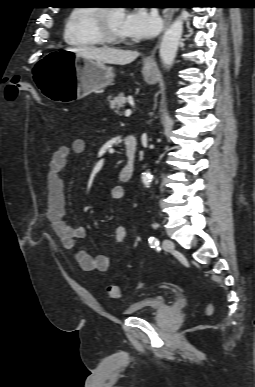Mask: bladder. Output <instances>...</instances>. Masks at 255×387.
Returning <instances> with one entry per match:
<instances>
[{
    "label": "bladder",
    "instance_id": "31cf9c89",
    "mask_svg": "<svg viewBox=\"0 0 255 387\" xmlns=\"http://www.w3.org/2000/svg\"><path fill=\"white\" fill-rule=\"evenodd\" d=\"M168 306L167 299L158 295L132 303L124 310V314L131 317H144L157 314Z\"/></svg>",
    "mask_w": 255,
    "mask_h": 387
}]
</instances>
